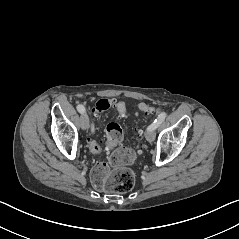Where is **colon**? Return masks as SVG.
<instances>
[{
    "instance_id": "obj_1",
    "label": "colon",
    "mask_w": 239,
    "mask_h": 239,
    "mask_svg": "<svg viewBox=\"0 0 239 239\" xmlns=\"http://www.w3.org/2000/svg\"><path fill=\"white\" fill-rule=\"evenodd\" d=\"M114 108L112 99H100L94 106V114L99 116L102 112ZM139 109L146 114H156L159 109L141 103ZM125 116V114H121ZM123 139V131L119 124L111 122L106 126V148L115 149ZM90 149L100 153L103 148L95 140H90ZM136 154L126 148L115 149L109 163H99L92 170V181L96 188L114 192H129L135 184V174L129 165L134 161Z\"/></svg>"
}]
</instances>
